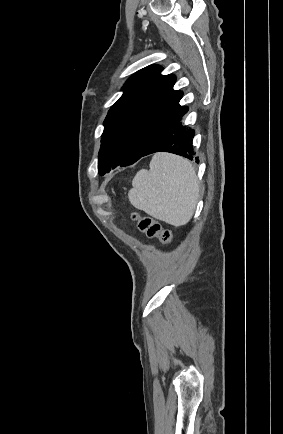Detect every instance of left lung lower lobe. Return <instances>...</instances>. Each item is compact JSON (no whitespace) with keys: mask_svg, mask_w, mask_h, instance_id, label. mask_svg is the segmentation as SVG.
Listing matches in <instances>:
<instances>
[{"mask_svg":"<svg viewBox=\"0 0 283 434\" xmlns=\"http://www.w3.org/2000/svg\"><path fill=\"white\" fill-rule=\"evenodd\" d=\"M187 111V106H180L158 131L141 157L155 152L164 151L181 155L190 160H195V162L198 163V157H193L195 153L192 147L195 131L191 128L182 126L181 123V120ZM118 166L127 165L120 164Z\"/></svg>","mask_w":283,"mask_h":434,"instance_id":"1","label":"left lung lower lobe"}]
</instances>
